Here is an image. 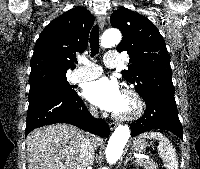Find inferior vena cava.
<instances>
[{
  "label": "inferior vena cava",
  "mask_w": 200,
  "mask_h": 169,
  "mask_svg": "<svg viewBox=\"0 0 200 169\" xmlns=\"http://www.w3.org/2000/svg\"><path fill=\"white\" fill-rule=\"evenodd\" d=\"M90 113L97 117V109L90 107ZM94 162V143L86 136L81 143V151L77 169H90V166Z\"/></svg>",
  "instance_id": "inferior-vena-cava-1"
}]
</instances>
